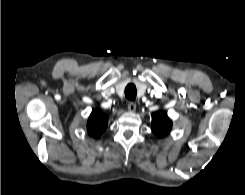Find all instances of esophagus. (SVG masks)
Masks as SVG:
<instances>
[{"label":"esophagus","instance_id":"1","mask_svg":"<svg viewBox=\"0 0 245 195\" xmlns=\"http://www.w3.org/2000/svg\"><path fill=\"white\" fill-rule=\"evenodd\" d=\"M127 108L130 112H134L136 110V104L134 102H129Z\"/></svg>","mask_w":245,"mask_h":195}]
</instances>
